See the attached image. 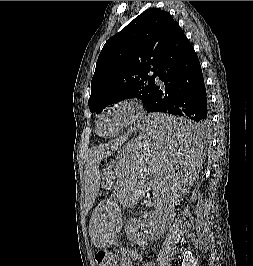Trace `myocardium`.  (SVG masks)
<instances>
[{
	"label": "myocardium",
	"instance_id": "myocardium-1",
	"mask_svg": "<svg viewBox=\"0 0 253 266\" xmlns=\"http://www.w3.org/2000/svg\"><path fill=\"white\" fill-rule=\"evenodd\" d=\"M116 109H121V110H124L126 112V119H125L124 123L122 124L121 127H119L112 134L102 135L98 130L100 119L107 112L112 111V110H116ZM142 111H143V104L140 100H138L134 97H125V98L119 99V100L105 106L99 112L97 119H96V123H95L96 132L99 136L104 137V138L114 137V136L120 134L121 132H123L124 130H126L127 128H129L131 125H133L135 123V121L139 118V116L141 115Z\"/></svg>",
	"mask_w": 253,
	"mask_h": 266
}]
</instances>
